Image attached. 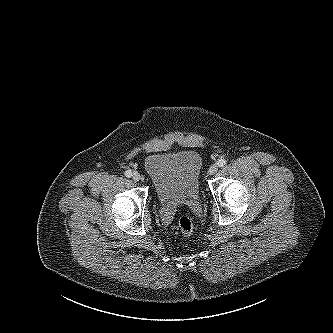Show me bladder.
I'll return each mask as SVG.
<instances>
[{"label": "bladder", "instance_id": "obj_1", "mask_svg": "<svg viewBox=\"0 0 333 333\" xmlns=\"http://www.w3.org/2000/svg\"><path fill=\"white\" fill-rule=\"evenodd\" d=\"M202 168L201 155L192 149L153 153L144 161L146 175L162 202L197 198Z\"/></svg>", "mask_w": 333, "mask_h": 333}]
</instances>
